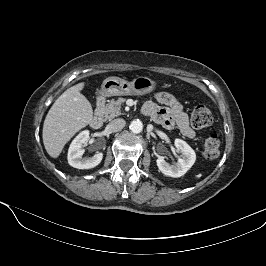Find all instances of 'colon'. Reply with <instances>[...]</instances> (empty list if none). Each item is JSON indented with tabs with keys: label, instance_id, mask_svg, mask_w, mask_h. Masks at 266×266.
Listing matches in <instances>:
<instances>
[{
	"label": "colon",
	"instance_id": "1",
	"mask_svg": "<svg viewBox=\"0 0 266 266\" xmlns=\"http://www.w3.org/2000/svg\"><path fill=\"white\" fill-rule=\"evenodd\" d=\"M213 121L210 110L202 104L197 105L191 115V123L195 128H204ZM221 149V142L217 134H210L202 144V153L207 159L216 158Z\"/></svg>",
	"mask_w": 266,
	"mask_h": 266
}]
</instances>
